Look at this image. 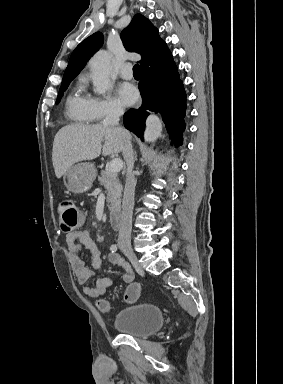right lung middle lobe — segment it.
I'll list each match as a JSON object with an SVG mask.
<instances>
[{
  "label": "right lung middle lobe",
  "mask_w": 283,
  "mask_h": 384,
  "mask_svg": "<svg viewBox=\"0 0 283 384\" xmlns=\"http://www.w3.org/2000/svg\"><path fill=\"white\" fill-rule=\"evenodd\" d=\"M69 84H70V82L62 83L61 84V88H60V91L58 93V98H57L56 104H58L60 102V99L63 96V92L66 91V89L68 88Z\"/></svg>",
  "instance_id": "dd1d6c3e"
}]
</instances>
